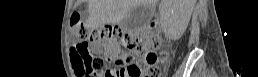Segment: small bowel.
<instances>
[{"mask_svg": "<svg viewBox=\"0 0 258 77\" xmlns=\"http://www.w3.org/2000/svg\"><path fill=\"white\" fill-rule=\"evenodd\" d=\"M122 58V53L120 52L119 49L115 48V47H111L109 49V60L111 62H118L120 61ZM111 75L109 74L108 77H110Z\"/></svg>", "mask_w": 258, "mask_h": 77, "instance_id": "obj_1", "label": "small bowel"}]
</instances>
